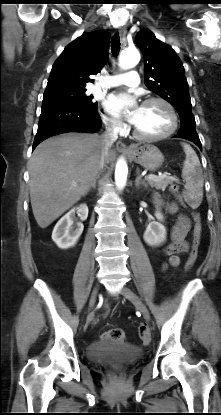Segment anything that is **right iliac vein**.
<instances>
[{
	"mask_svg": "<svg viewBox=\"0 0 221 415\" xmlns=\"http://www.w3.org/2000/svg\"><path fill=\"white\" fill-rule=\"evenodd\" d=\"M97 294H98V287H95L93 292H92L90 301H89V309L90 310L94 307V305L96 303Z\"/></svg>",
	"mask_w": 221,
	"mask_h": 415,
	"instance_id": "1",
	"label": "right iliac vein"
}]
</instances>
